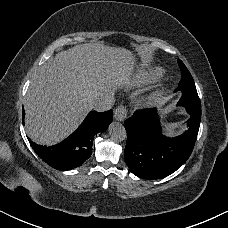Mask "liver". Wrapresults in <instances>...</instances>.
I'll return each instance as SVG.
<instances>
[{"label": "liver", "mask_w": 228, "mask_h": 228, "mask_svg": "<svg viewBox=\"0 0 228 228\" xmlns=\"http://www.w3.org/2000/svg\"><path fill=\"white\" fill-rule=\"evenodd\" d=\"M131 51L99 42L78 44L44 63L27 90L25 128L31 140L55 145L74 132L92 110L89 94L131 88Z\"/></svg>", "instance_id": "6515ba94"}]
</instances>
